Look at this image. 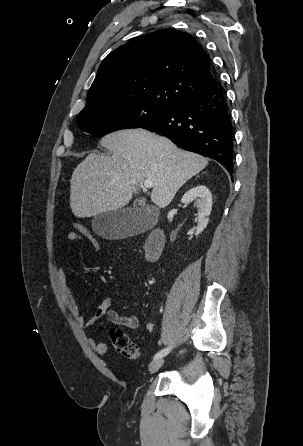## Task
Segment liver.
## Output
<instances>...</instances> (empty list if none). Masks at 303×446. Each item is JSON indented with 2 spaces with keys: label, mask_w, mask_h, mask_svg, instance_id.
Listing matches in <instances>:
<instances>
[{
  "label": "liver",
  "mask_w": 303,
  "mask_h": 446,
  "mask_svg": "<svg viewBox=\"0 0 303 446\" xmlns=\"http://www.w3.org/2000/svg\"><path fill=\"white\" fill-rule=\"evenodd\" d=\"M100 144L112 155L90 153L72 173L70 207L78 218L124 207L145 180L153 182L151 201L165 208L208 164L201 155L179 149L169 139L144 129L113 132Z\"/></svg>",
  "instance_id": "1"
}]
</instances>
